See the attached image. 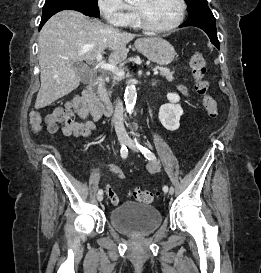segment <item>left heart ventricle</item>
<instances>
[{"instance_id": "obj_1", "label": "left heart ventricle", "mask_w": 261, "mask_h": 273, "mask_svg": "<svg viewBox=\"0 0 261 273\" xmlns=\"http://www.w3.org/2000/svg\"><path fill=\"white\" fill-rule=\"evenodd\" d=\"M135 7L144 10L150 23L156 27H167L179 17L178 0H137Z\"/></svg>"}]
</instances>
